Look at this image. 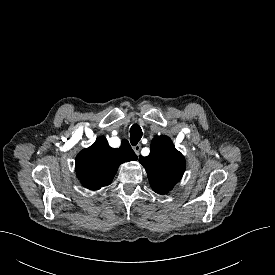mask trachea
Instances as JSON below:
<instances>
[{
	"instance_id": "1",
	"label": "trachea",
	"mask_w": 275,
	"mask_h": 275,
	"mask_svg": "<svg viewBox=\"0 0 275 275\" xmlns=\"http://www.w3.org/2000/svg\"><path fill=\"white\" fill-rule=\"evenodd\" d=\"M142 134L143 132L139 125L134 124L130 128V142L133 146H135L140 141Z\"/></svg>"
}]
</instances>
